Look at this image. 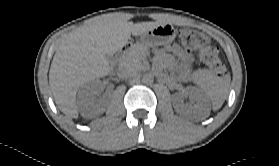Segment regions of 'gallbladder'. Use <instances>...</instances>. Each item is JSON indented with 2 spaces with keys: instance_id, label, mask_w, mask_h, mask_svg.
I'll return each mask as SVG.
<instances>
[{
  "instance_id": "bac80fb5",
  "label": "gallbladder",
  "mask_w": 279,
  "mask_h": 166,
  "mask_svg": "<svg viewBox=\"0 0 279 166\" xmlns=\"http://www.w3.org/2000/svg\"><path fill=\"white\" fill-rule=\"evenodd\" d=\"M106 58H107L108 62H113V60H114L113 55H110V54H106Z\"/></svg>"
}]
</instances>
